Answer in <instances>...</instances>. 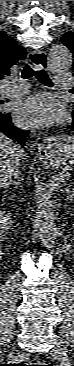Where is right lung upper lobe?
<instances>
[{
    "mask_svg": "<svg viewBox=\"0 0 74 366\" xmlns=\"http://www.w3.org/2000/svg\"><path fill=\"white\" fill-rule=\"evenodd\" d=\"M26 50L9 35L0 31V80L10 74V68L26 57Z\"/></svg>",
    "mask_w": 74,
    "mask_h": 366,
    "instance_id": "1",
    "label": "right lung upper lobe"
}]
</instances>
